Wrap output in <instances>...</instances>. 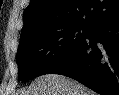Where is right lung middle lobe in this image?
<instances>
[{
	"mask_svg": "<svg viewBox=\"0 0 119 95\" xmlns=\"http://www.w3.org/2000/svg\"><path fill=\"white\" fill-rule=\"evenodd\" d=\"M79 24L43 26L20 38L16 61L20 81L43 75L88 33Z\"/></svg>",
	"mask_w": 119,
	"mask_h": 95,
	"instance_id": "right-lung-middle-lobe-1",
	"label": "right lung middle lobe"
}]
</instances>
